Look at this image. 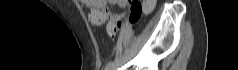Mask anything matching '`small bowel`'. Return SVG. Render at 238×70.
<instances>
[{
  "label": "small bowel",
  "mask_w": 238,
  "mask_h": 70,
  "mask_svg": "<svg viewBox=\"0 0 238 70\" xmlns=\"http://www.w3.org/2000/svg\"><path fill=\"white\" fill-rule=\"evenodd\" d=\"M82 2L89 7V20L93 25L101 26L108 21V19H119L120 21L123 16L111 12L107 8V0H83ZM109 2L122 7L127 4L126 0H110Z\"/></svg>",
  "instance_id": "obj_1"
}]
</instances>
